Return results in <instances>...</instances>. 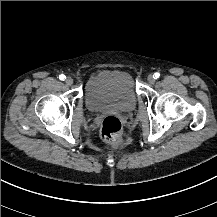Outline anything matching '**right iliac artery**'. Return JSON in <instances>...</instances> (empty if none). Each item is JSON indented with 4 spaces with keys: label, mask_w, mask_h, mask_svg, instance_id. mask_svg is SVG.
Masks as SVG:
<instances>
[{
    "label": "right iliac artery",
    "mask_w": 217,
    "mask_h": 217,
    "mask_svg": "<svg viewBox=\"0 0 217 217\" xmlns=\"http://www.w3.org/2000/svg\"><path fill=\"white\" fill-rule=\"evenodd\" d=\"M59 79L64 80V79H66V76L64 74H61V75H59Z\"/></svg>",
    "instance_id": "right-iliac-artery-1"
}]
</instances>
